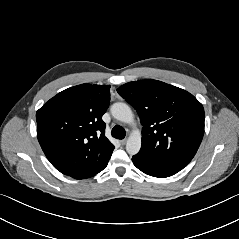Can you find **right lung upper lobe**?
I'll return each mask as SVG.
<instances>
[{"label":"right lung upper lobe","instance_id":"obj_1","mask_svg":"<svg viewBox=\"0 0 239 239\" xmlns=\"http://www.w3.org/2000/svg\"><path fill=\"white\" fill-rule=\"evenodd\" d=\"M109 85L68 88L36 113L37 137L51 164L75 179L100 172L114 150L105 137L102 115L110 102Z\"/></svg>","mask_w":239,"mask_h":239}]
</instances>
